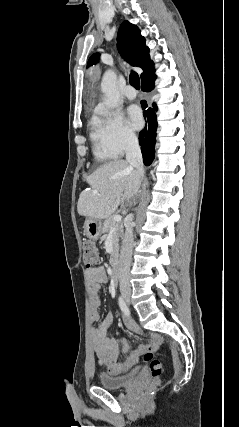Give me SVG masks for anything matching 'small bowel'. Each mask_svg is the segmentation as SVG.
<instances>
[{
  "label": "small bowel",
  "mask_w": 239,
  "mask_h": 427,
  "mask_svg": "<svg viewBox=\"0 0 239 427\" xmlns=\"http://www.w3.org/2000/svg\"><path fill=\"white\" fill-rule=\"evenodd\" d=\"M86 273L91 293L90 319L95 323L99 320L100 299L98 293L102 285L107 283L108 277L106 271L101 266L89 268ZM112 320V314L108 313L99 325L92 328V343L99 362L107 367L108 373L119 375L130 370L143 352L156 350L160 344V337L153 334L149 336L145 343L130 350L125 339H109L107 337L106 329L112 323ZM124 324L131 333L136 336H142V330L127 315L124 317ZM121 355L125 356L121 361H118Z\"/></svg>",
  "instance_id": "obj_1"
}]
</instances>
